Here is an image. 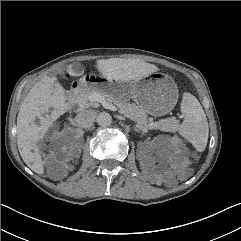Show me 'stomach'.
Instances as JSON below:
<instances>
[{"label": "stomach", "instance_id": "1", "mask_svg": "<svg viewBox=\"0 0 241 241\" xmlns=\"http://www.w3.org/2000/svg\"><path fill=\"white\" fill-rule=\"evenodd\" d=\"M80 84L85 89H96L116 100L133 99L137 107L153 116L169 113L178 101L176 83L161 72L128 82L109 80L103 76H85L80 79Z\"/></svg>", "mask_w": 241, "mask_h": 241}]
</instances>
